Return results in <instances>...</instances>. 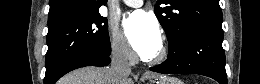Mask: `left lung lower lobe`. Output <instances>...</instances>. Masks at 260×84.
I'll list each match as a JSON object with an SVG mask.
<instances>
[{
    "label": "left lung lower lobe",
    "instance_id": "0a47b994",
    "mask_svg": "<svg viewBox=\"0 0 260 84\" xmlns=\"http://www.w3.org/2000/svg\"><path fill=\"white\" fill-rule=\"evenodd\" d=\"M221 24L193 26L169 50L167 60L150 70L163 74L195 73L227 84Z\"/></svg>",
    "mask_w": 260,
    "mask_h": 84
}]
</instances>
